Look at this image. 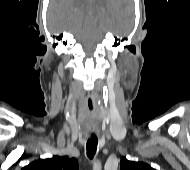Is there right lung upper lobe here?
Instances as JSON below:
<instances>
[{"instance_id":"right-lung-upper-lobe-1","label":"right lung upper lobe","mask_w":190,"mask_h":170,"mask_svg":"<svg viewBox=\"0 0 190 170\" xmlns=\"http://www.w3.org/2000/svg\"><path fill=\"white\" fill-rule=\"evenodd\" d=\"M22 170H78V162L68 156H53L48 159L35 160Z\"/></svg>"}]
</instances>
